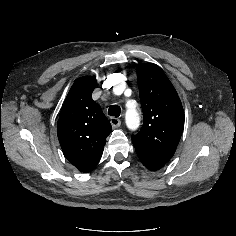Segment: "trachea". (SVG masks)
<instances>
[{
  "mask_svg": "<svg viewBox=\"0 0 236 236\" xmlns=\"http://www.w3.org/2000/svg\"><path fill=\"white\" fill-rule=\"evenodd\" d=\"M121 108L118 105H112L108 109V115L118 117L120 116Z\"/></svg>",
  "mask_w": 236,
  "mask_h": 236,
  "instance_id": "3493384b",
  "label": "trachea"
}]
</instances>
